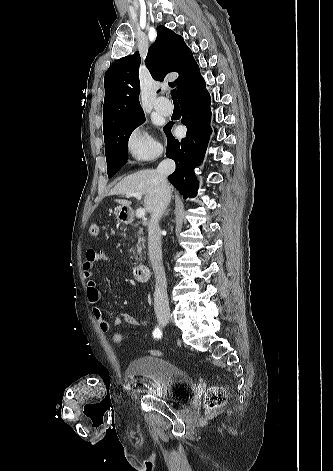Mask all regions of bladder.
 Returning <instances> with one entry per match:
<instances>
[{
  "instance_id": "31cf9c89",
  "label": "bladder",
  "mask_w": 333,
  "mask_h": 471,
  "mask_svg": "<svg viewBox=\"0 0 333 471\" xmlns=\"http://www.w3.org/2000/svg\"><path fill=\"white\" fill-rule=\"evenodd\" d=\"M128 376L150 381L152 393L160 400L177 404L191 397L195 383L182 368L158 356L132 359L126 368Z\"/></svg>"
}]
</instances>
